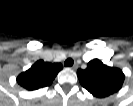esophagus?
Instances as JSON below:
<instances>
[{"mask_svg": "<svg viewBox=\"0 0 133 106\" xmlns=\"http://www.w3.org/2000/svg\"><path fill=\"white\" fill-rule=\"evenodd\" d=\"M78 68V65L77 64H74L72 67H71V69H73V70H76Z\"/></svg>", "mask_w": 133, "mask_h": 106, "instance_id": "34e87169", "label": "esophagus"}]
</instances>
